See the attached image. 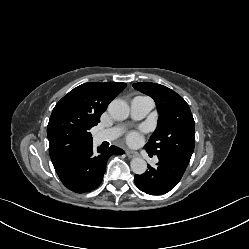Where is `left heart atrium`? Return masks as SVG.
Listing matches in <instances>:
<instances>
[{
	"instance_id": "1",
	"label": "left heart atrium",
	"mask_w": 249,
	"mask_h": 249,
	"mask_svg": "<svg viewBox=\"0 0 249 249\" xmlns=\"http://www.w3.org/2000/svg\"><path fill=\"white\" fill-rule=\"evenodd\" d=\"M140 139H141V135H140V133H138V132H130V133L127 135V141H128L129 143H136V142H138Z\"/></svg>"
}]
</instances>
